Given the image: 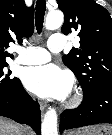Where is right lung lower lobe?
I'll return each instance as SVG.
<instances>
[{"label": "right lung lower lobe", "mask_w": 112, "mask_h": 135, "mask_svg": "<svg viewBox=\"0 0 112 135\" xmlns=\"http://www.w3.org/2000/svg\"><path fill=\"white\" fill-rule=\"evenodd\" d=\"M0 116L11 118L18 123L28 124L37 134H40L39 104L31 99L21 81L10 90L0 92Z\"/></svg>", "instance_id": "obj_1"}]
</instances>
